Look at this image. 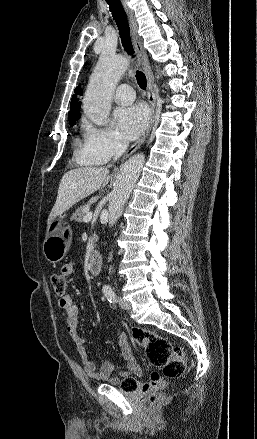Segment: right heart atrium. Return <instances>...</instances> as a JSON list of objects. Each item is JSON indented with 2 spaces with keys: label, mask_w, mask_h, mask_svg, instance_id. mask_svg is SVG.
<instances>
[{
  "label": "right heart atrium",
  "mask_w": 257,
  "mask_h": 439,
  "mask_svg": "<svg viewBox=\"0 0 257 439\" xmlns=\"http://www.w3.org/2000/svg\"><path fill=\"white\" fill-rule=\"evenodd\" d=\"M124 145L123 137L115 128L86 123L83 147L78 156L83 161L103 163L120 154Z\"/></svg>",
  "instance_id": "1"
}]
</instances>
